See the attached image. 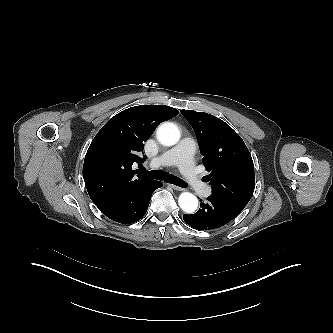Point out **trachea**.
Wrapping results in <instances>:
<instances>
[{
	"instance_id": "trachea-1",
	"label": "trachea",
	"mask_w": 333,
	"mask_h": 333,
	"mask_svg": "<svg viewBox=\"0 0 333 333\" xmlns=\"http://www.w3.org/2000/svg\"><path fill=\"white\" fill-rule=\"evenodd\" d=\"M139 173L148 176L150 178L156 179V180H164L167 183H171L174 184L176 186L182 187V188H186L188 185L185 181H183L182 179L168 174L167 172H164L162 170H151V171H147L145 168L141 167L138 170Z\"/></svg>"
}]
</instances>
